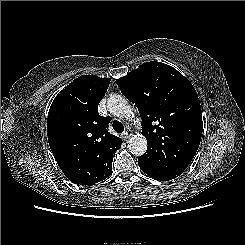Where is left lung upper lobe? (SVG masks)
<instances>
[{"mask_svg": "<svg viewBox=\"0 0 245 245\" xmlns=\"http://www.w3.org/2000/svg\"><path fill=\"white\" fill-rule=\"evenodd\" d=\"M116 83L137 105L142 119L148 147L138 163L182 174L197 152L203 126L200 101L190 81L175 68L152 61Z\"/></svg>", "mask_w": 245, "mask_h": 245, "instance_id": "obj_1", "label": "left lung upper lobe"}]
</instances>
